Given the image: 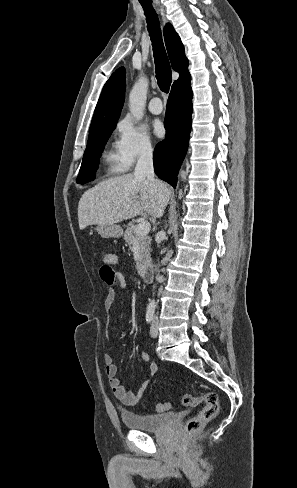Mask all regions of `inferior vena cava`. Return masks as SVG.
<instances>
[{
    "mask_svg": "<svg viewBox=\"0 0 297 488\" xmlns=\"http://www.w3.org/2000/svg\"><path fill=\"white\" fill-rule=\"evenodd\" d=\"M134 175L136 177H146L147 180L152 183L162 186V183L155 179V173L153 168V149L151 145H144L140 151V155L135 167ZM164 238V234H161V239ZM158 282H161L159 273L156 276Z\"/></svg>",
    "mask_w": 297,
    "mask_h": 488,
    "instance_id": "1",
    "label": "inferior vena cava"
}]
</instances>
